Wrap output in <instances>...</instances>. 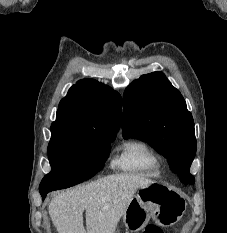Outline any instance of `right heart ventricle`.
Returning a JSON list of instances; mask_svg holds the SVG:
<instances>
[{
  "instance_id": "e07e8e85",
  "label": "right heart ventricle",
  "mask_w": 227,
  "mask_h": 233,
  "mask_svg": "<svg viewBox=\"0 0 227 233\" xmlns=\"http://www.w3.org/2000/svg\"><path fill=\"white\" fill-rule=\"evenodd\" d=\"M161 157L144 141L125 142L113 160V166L124 172L148 178H158L162 173Z\"/></svg>"
}]
</instances>
